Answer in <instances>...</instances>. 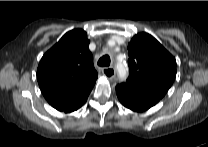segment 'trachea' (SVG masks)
<instances>
[{"label":"trachea","instance_id":"1","mask_svg":"<svg viewBox=\"0 0 208 147\" xmlns=\"http://www.w3.org/2000/svg\"><path fill=\"white\" fill-rule=\"evenodd\" d=\"M98 65L101 67H108L110 65L109 55H104L98 60Z\"/></svg>","mask_w":208,"mask_h":147}]
</instances>
